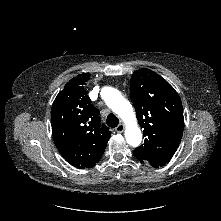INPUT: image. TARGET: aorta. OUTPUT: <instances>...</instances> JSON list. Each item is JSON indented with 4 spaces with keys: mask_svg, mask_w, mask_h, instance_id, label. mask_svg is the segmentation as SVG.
I'll return each mask as SVG.
<instances>
[{
    "mask_svg": "<svg viewBox=\"0 0 221 221\" xmlns=\"http://www.w3.org/2000/svg\"><path fill=\"white\" fill-rule=\"evenodd\" d=\"M104 101L126 124L125 138L129 145L137 147L142 140L141 130L139 129L134 111L129 101L114 88L107 87Z\"/></svg>",
    "mask_w": 221,
    "mask_h": 221,
    "instance_id": "aorta-1",
    "label": "aorta"
}]
</instances>
